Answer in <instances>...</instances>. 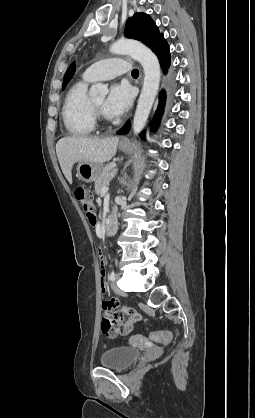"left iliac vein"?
Returning a JSON list of instances; mask_svg holds the SVG:
<instances>
[{
  "instance_id": "left-iliac-vein-1",
  "label": "left iliac vein",
  "mask_w": 255,
  "mask_h": 418,
  "mask_svg": "<svg viewBox=\"0 0 255 418\" xmlns=\"http://www.w3.org/2000/svg\"><path fill=\"white\" fill-rule=\"evenodd\" d=\"M119 276H116L115 280L112 282V289L116 294L119 295H126L117 285L116 280H118Z\"/></svg>"
}]
</instances>
